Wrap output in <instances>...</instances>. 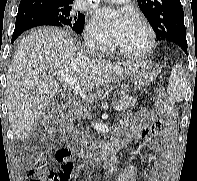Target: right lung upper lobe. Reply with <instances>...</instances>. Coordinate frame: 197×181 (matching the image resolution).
Returning a JSON list of instances; mask_svg holds the SVG:
<instances>
[{
  "instance_id": "obj_1",
  "label": "right lung upper lobe",
  "mask_w": 197,
  "mask_h": 181,
  "mask_svg": "<svg viewBox=\"0 0 197 181\" xmlns=\"http://www.w3.org/2000/svg\"><path fill=\"white\" fill-rule=\"evenodd\" d=\"M74 0H21L20 6L33 7L37 4H53L59 6H70Z\"/></svg>"
}]
</instances>
